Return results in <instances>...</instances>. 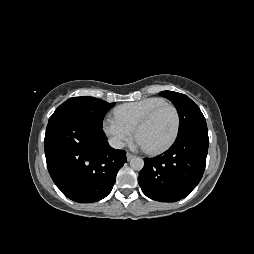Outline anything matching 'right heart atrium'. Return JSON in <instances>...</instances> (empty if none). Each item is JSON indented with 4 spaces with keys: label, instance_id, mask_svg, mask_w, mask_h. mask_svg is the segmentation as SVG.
Segmentation results:
<instances>
[{
    "label": "right heart atrium",
    "instance_id": "obj_1",
    "mask_svg": "<svg viewBox=\"0 0 254 254\" xmlns=\"http://www.w3.org/2000/svg\"><path fill=\"white\" fill-rule=\"evenodd\" d=\"M102 129L110 144L115 148L124 147L134 135V128L122 122L115 115H108L104 118Z\"/></svg>",
    "mask_w": 254,
    "mask_h": 254
}]
</instances>
